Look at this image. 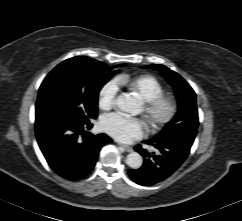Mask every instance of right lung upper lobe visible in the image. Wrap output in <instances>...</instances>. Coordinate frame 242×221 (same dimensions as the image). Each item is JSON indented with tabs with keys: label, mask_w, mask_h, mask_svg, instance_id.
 I'll return each mask as SVG.
<instances>
[{
	"label": "right lung upper lobe",
	"mask_w": 242,
	"mask_h": 221,
	"mask_svg": "<svg viewBox=\"0 0 242 221\" xmlns=\"http://www.w3.org/2000/svg\"><path fill=\"white\" fill-rule=\"evenodd\" d=\"M79 57H82V56H77V57H73V58H79Z\"/></svg>",
	"instance_id": "right-lung-upper-lobe-1"
}]
</instances>
